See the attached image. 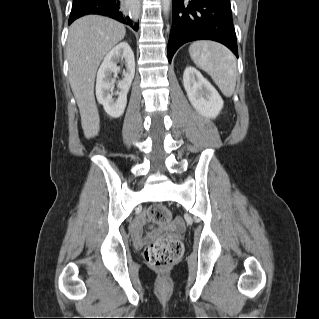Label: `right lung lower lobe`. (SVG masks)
<instances>
[{
    "mask_svg": "<svg viewBox=\"0 0 319 319\" xmlns=\"http://www.w3.org/2000/svg\"><path fill=\"white\" fill-rule=\"evenodd\" d=\"M120 8V0H73L69 24L84 15L98 14L116 19L137 31L138 23H134L129 16H124Z\"/></svg>",
    "mask_w": 319,
    "mask_h": 319,
    "instance_id": "1",
    "label": "right lung lower lobe"
}]
</instances>
